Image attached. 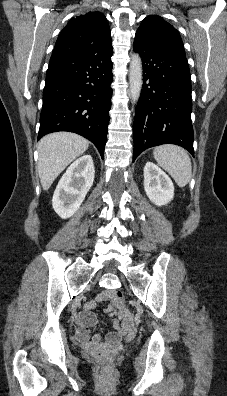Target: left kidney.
Listing matches in <instances>:
<instances>
[{"label": "left kidney", "instance_id": "left-kidney-1", "mask_svg": "<svg viewBox=\"0 0 227 396\" xmlns=\"http://www.w3.org/2000/svg\"><path fill=\"white\" fill-rule=\"evenodd\" d=\"M144 190L150 201L157 206L168 204L174 197L171 179L152 162H147L144 167Z\"/></svg>", "mask_w": 227, "mask_h": 396}]
</instances>
